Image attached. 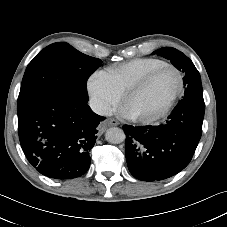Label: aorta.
Here are the masks:
<instances>
[{
	"instance_id": "obj_1",
	"label": "aorta",
	"mask_w": 227,
	"mask_h": 227,
	"mask_svg": "<svg viewBox=\"0 0 227 227\" xmlns=\"http://www.w3.org/2000/svg\"><path fill=\"white\" fill-rule=\"evenodd\" d=\"M105 139L112 144H119L125 140V133L118 127H111L105 133Z\"/></svg>"
}]
</instances>
